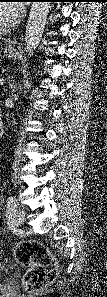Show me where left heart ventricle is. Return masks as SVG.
<instances>
[{
	"mask_svg": "<svg viewBox=\"0 0 107 297\" xmlns=\"http://www.w3.org/2000/svg\"><path fill=\"white\" fill-rule=\"evenodd\" d=\"M0 25H6L11 22V17L8 12L7 5H0Z\"/></svg>",
	"mask_w": 107,
	"mask_h": 297,
	"instance_id": "b2bd125f",
	"label": "left heart ventricle"
}]
</instances>
